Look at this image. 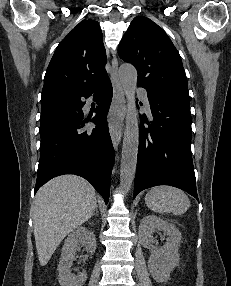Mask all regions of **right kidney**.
Masks as SVG:
<instances>
[{
    "instance_id": "obj_1",
    "label": "right kidney",
    "mask_w": 231,
    "mask_h": 286,
    "mask_svg": "<svg viewBox=\"0 0 231 286\" xmlns=\"http://www.w3.org/2000/svg\"><path fill=\"white\" fill-rule=\"evenodd\" d=\"M79 243L83 244L91 254L96 250L95 235L85 227L75 229L67 237L58 265V281L61 286H83L87 280V274L84 272L78 275L71 273V266L75 259L76 248Z\"/></svg>"
}]
</instances>
